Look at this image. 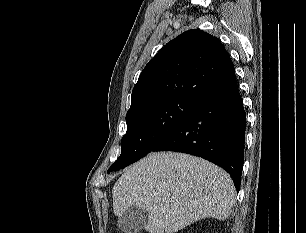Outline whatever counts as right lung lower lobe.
Masks as SVG:
<instances>
[{
	"instance_id": "1",
	"label": "right lung lower lobe",
	"mask_w": 306,
	"mask_h": 233,
	"mask_svg": "<svg viewBox=\"0 0 306 233\" xmlns=\"http://www.w3.org/2000/svg\"><path fill=\"white\" fill-rule=\"evenodd\" d=\"M246 113L238 86L204 102L153 151L202 157L226 170L239 191L244 163Z\"/></svg>"
}]
</instances>
